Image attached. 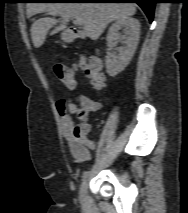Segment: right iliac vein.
Segmentation results:
<instances>
[{"mask_svg": "<svg viewBox=\"0 0 188 213\" xmlns=\"http://www.w3.org/2000/svg\"><path fill=\"white\" fill-rule=\"evenodd\" d=\"M87 193V180H84V182L81 185L80 192H79V198L80 200H84Z\"/></svg>", "mask_w": 188, "mask_h": 213, "instance_id": "obj_1", "label": "right iliac vein"}]
</instances>
